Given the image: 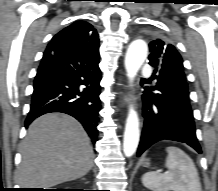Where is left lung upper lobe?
Returning a JSON list of instances; mask_svg holds the SVG:
<instances>
[{
	"label": "left lung upper lobe",
	"instance_id": "obj_1",
	"mask_svg": "<svg viewBox=\"0 0 218 191\" xmlns=\"http://www.w3.org/2000/svg\"><path fill=\"white\" fill-rule=\"evenodd\" d=\"M149 63L159 71L157 87L168 97L180 96L189 100L183 60L176 48L161 39L149 44Z\"/></svg>",
	"mask_w": 218,
	"mask_h": 191
}]
</instances>
